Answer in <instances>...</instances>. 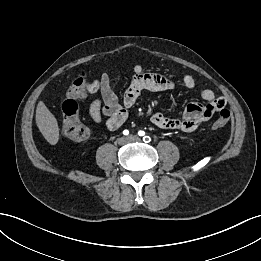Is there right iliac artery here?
I'll return each instance as SVG.
<instances>
[{
    "label": "right iliac artery",
    "mask_w": 261,
    "mask_h": 261,
    "mask_svg": "<svg viewBox=\"0 0 261 261\" xmlns=\"http://www.w3.org/2000/svg\"><path fill=\"white\" fill-rule=\"evenodd\" d=\"M123 134H124V135H128V134H129V131H128V130H124V131H123Z\"/></svg>",
    "instance_id": "82829eb1"
}]
</instances>
